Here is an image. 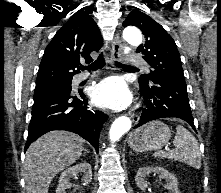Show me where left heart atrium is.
Listing matches in <instances>:
<instances>
[{
    "instance_id": "obj_1",
    "label": "left heart atrium",
    "mask_w": 221,
    "mask_h": 193,
    "mask_svg": "<svg viewBox=\"0 0 221 193\" xmlns=\"http://www.w3.org/2000/svg\"><path fill=\"white\" fill-rule=\"evenodd\" d=\"M94 103L103 108L122 110L132 101L127 84L118 77H111L96 85L92 92Z\"/></svg>"
}]
</instances>
